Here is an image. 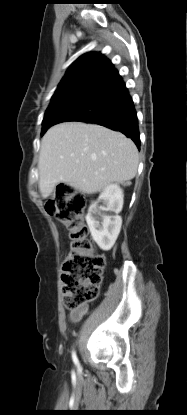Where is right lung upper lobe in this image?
Masks as SVG:
<instances>
[{
	"mask_svg": "<svg viewBox=\"0 0 187 415\" xmlns=\"http://www.w3.org/2000/svg\"><path fill=\"white\" fill-rule=\"evenodd\" d=\"M108 63L110 61L100 53H86L79 57L67 70L50 105L63 100L79 80Z\"/></svg>",
	"mask_w": 187,
	"mask_h": 415,
	"instance_id": "1",
	"label": "right lung upper lobe"
}]
</instances>
